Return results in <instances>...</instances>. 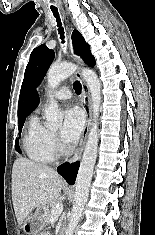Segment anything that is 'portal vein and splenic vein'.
Here are the masks:
<instances>
[{
  "label": "portal vein and splenic vein",
  "instance_id": "obj_1",
  "mask_svg": "<svg viewBox=\"0 0 155 235\" xmlns=\"http://www.w3.org/2000/svg\"><path fill=\"white\" fill-rule=\"evenodd\" d=\"M63 211V204L58 202L51 210V217L59 216Z\"/></svg>",
  "mask_w": 155,
  "mask_h": 235
}]
</instances>
